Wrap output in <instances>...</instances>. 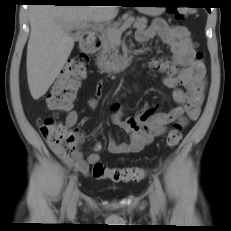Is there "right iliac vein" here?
Here are the masks:
<instances>
[{"instance_id":"1","label":"right iliac vein","mask_w":231,"mask_h":231,"mask_svg":"<svg viewBox=\"0 0 231 231\" xmlns=\"http://www.w3.org/2000/svg\"><path fill=\"white\" fill-rule=\"evenodd\" d=\"M78 190L75 189L73 194H72V197L70 199V202H69V206H68V211L69 212H74L75 209H76V204H77V201H78Z\"/></svg>"}]
</instances>
